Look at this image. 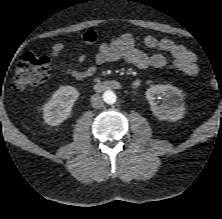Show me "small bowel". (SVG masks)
Wrapping results in <instances>:
<instances>
[{"instance_id":"c3829d8e","label":"small bowel","mask_w":222,"mask_h":219,"mask_svg":"<svg viewBox=\"0 0 222 219\" xmlns=\"http://www.w3.org/2000/svg\"><path fill=\"white\" fill-rule=\"evenodd\" d=\"M83 40L92 45L97 42L98 35L90 30L84 33ZM143 42L147 48L155 50V53L149 55L137 49L135 38L131 34L125 33L113 37L108 42L101 43L93 64L86 69L64 68L58 63H56V67L76 80H83L93 76L99 66L115 61H124L138 69L162 68L168 63L167 54H169L172 57L173 66L180 72L188 76H196L199 73L195 53L185 46L171 39H159L152 35L145 36ZM63 50L64 45L62 43L53 44L50 52L51 59L56 62ZM84 60L85 57L80 55L78 64L83 63Z\"/></svg>"}]
</instances>
